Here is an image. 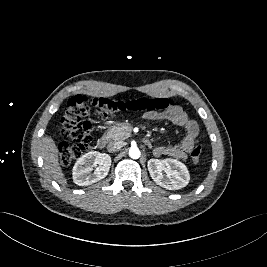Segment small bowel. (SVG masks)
<instances>
[{
    "mask_svg": "<svg viewBox=\"0 0 267 267\" xmlns=\"http://www.w3.org/2000/svg\"><path fill=\"white\" fill-rule=\"evenodd\" d=\"M151 119H162L184 128V137L179 143L157 145L154 147L156 156H167L174 159H184L198 141L199 128L197 122L180 106H174L161 114L150 115ZM146 144L151 146L150 139Z\"/></svg>",
    "mask_w": 267,
    "mask_h": 267,
    "instance_id": "1",
    "label": "small bowel"
}]
</instances>
